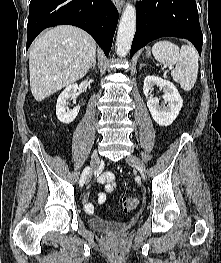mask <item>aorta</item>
I'll list each match as a JSON object with an SVG mask.
<instances>
[{"instance_id": "obj_1", "label": "aorta", "mask_w": 221, "mask_h": 263, "mask_svg": "<svg viewBox=\"0 0 221 263\" xmlns=\"http://www.w3.org/2000/svg\"><path fill=\"white\" fill-rule=\"evenodd\" d=\"M136 30V9L127 3L119 22L116 38V54L125 57L131 48Z\"/></svg>"}]
</instances>
